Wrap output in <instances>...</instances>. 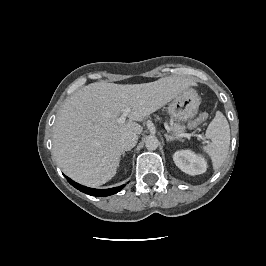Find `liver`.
I'll list each match as a JSON object with an SVG mask.
<instances>
[{"label": "liver", "mask_w": 266, "mask_h": 266, "mask_svg": "<svg viewBox=\"0 0 266 266\" xmlns=\"http://www.w3.org/2000/svg\"><path fill=\"white\" fill-rule=\"evenodd\" d=\"M190 79L165 77L143 84L96 82L71 95L53 128V154L63 172L89 187L113 178L122 155L125 133L141 134L140 121L177 97ZM129 107V121L117 119Z\"/></svg>", "instance_id": "liver-1"}]
</instances>
